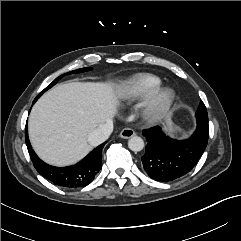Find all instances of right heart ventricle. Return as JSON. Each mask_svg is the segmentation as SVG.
Here are the masks:
<instances>
[{
    "mask_svg": "<svg viewBox=\"0 0 241 241\" xmlns=\"http://www.w3.org/2000/svg\"><path fill=\"white\" fill-rule=\"evenodd\" d=\"M161 84L162 80L157 75L146 72L137 73L122 84L121 95L126 100H139Z\"/></svg>",
    "mask_w": 241,
    "mask_h": 241,
    "instance_id": "right-heart-ventricle-1",
    "label": "right heart ventricle"
}]
</instances>
